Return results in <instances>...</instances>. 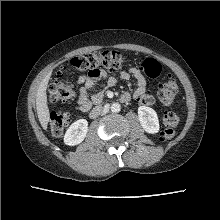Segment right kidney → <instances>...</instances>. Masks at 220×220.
I'll use <instances>...</instances> for the list:
<instances>
[{
  "instance_id": "ca27d5eb",
  "label": "right kidney",
  "mask_w": 220,
  "mask_h": 220,
  "mask_svg": "<svg viewBox=\"0 0 220 220\" xmlns=\"http://www.w3.org/2000/svg\"><path fill=\"white\" fill-rule=\"evenodd\" d=\"M88 122L86 119H79L67 129L64 136V143L69 146L80 144L86 137Z\"/></svg>"
}]
</instances>
